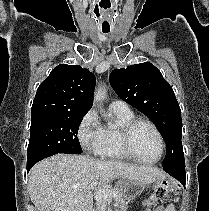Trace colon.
Wrapping results in <instances>:
<instances>
[{
  "mask_svg": "<svg viewBox=\"0 0 209 211\" xmlns=\"http://www.w3.org/2000/svg\"><path fill=\"white\" fill-rule=\"evenodd\" d=\"M169 192V188L167 185H164L160 187L153 195L151 201H155L157 199H161L163 197H166Z\"/></svg>",
  "mask_w": 209,
  "mask_h": 211,
  "instance_id": "5ec220e1",
  "label": "colon"
}]
</instances>
